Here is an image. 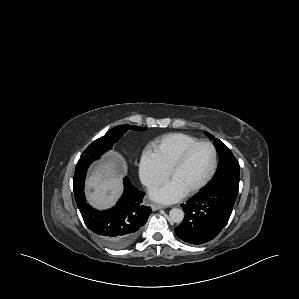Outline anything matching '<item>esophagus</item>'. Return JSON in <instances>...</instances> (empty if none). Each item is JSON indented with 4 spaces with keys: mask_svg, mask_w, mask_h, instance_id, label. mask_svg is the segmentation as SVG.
Segmentation results:
<instances>
[{
    "mask_svg": "<svg viewBox=\"0 0 299 299\" xmlns=\"http://www.w3.org/2000/svg\"><path fill=\"white\" fill-rule=\"evenodd\" d=\"M151 208H152L153 211H156V210L165 208V206L154 203V204L151 205Z\"/></svg>",
    "mask_w": 299,
    "mask_h": 299,
    "instance_id": "obj_1",
    "label": "esophagus"
}]
</instances>
